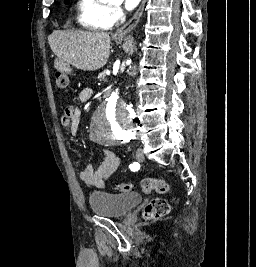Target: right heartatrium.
Instances as JSON below:
<instances>
[{
    "label": "right heart atrium",
    "mask_w": 256,
    "mask_h": 267,
    "mask_svg": "<svg viewBox=\"0 0 256 267\" xmlns=\"http://www.w3.org/2000/svg\"><path fill=\"white\" fill-rule=\"evenodd\" d=\"M110 15L114 18H120L122 15V9L118 4L111 6Z\"/></svg>",
    "instance_id": "obj_1"
}]
</instances>
